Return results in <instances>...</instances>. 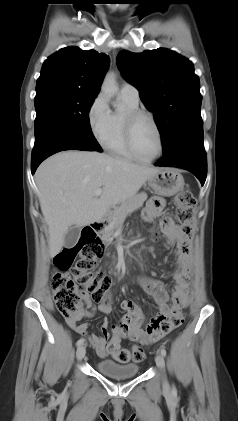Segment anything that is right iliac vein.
Returning <instances> with one entry per match:
<instances>
[{"mask_svg": "<svg viewBox=\"0 0 238 421\" xmlns=\"http://www.w3.org/2000/svg\"><path fill=\"white\" fill-rule=\"evenodd\" d=\"M86 354V347L85 345H80L76 351V357L78 360H82Z\"/></svg>", "mask_w": 238, "mask_h": 421, "instance_id": "right-iliac-vein-1", "label": "right iliac vein"}]
</instances>
